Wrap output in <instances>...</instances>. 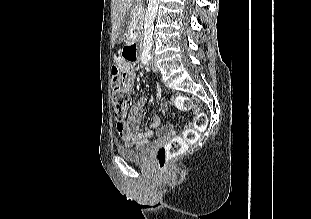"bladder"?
Instances as JSON below:
<instances>
[{"instance_id": "1", "label": "bladder", "mask_w": 311, "mask_h": 219, "mask_svg": "<svg viewBox=\"0 0 311 219\" xmlns=\"http://www.w3.org/2000/svg\"><path fill=\"white\" fill-rule=\"evenodd\" d=\"M149 147L147 145L130 148L126 146H117L116 151L120 157L128 161L142 162L149 155Z\"/></svg>"}]
</instances>
